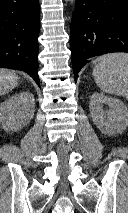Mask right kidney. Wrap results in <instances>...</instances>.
<instances>
[{
  "label": "right kidney",
  "mask_w": 128,
  "mask_h": 213,
  "mask_svg": "<svg viewBox=\"0 0 128 213\" xmlns=\"http://www.w3.org/2000/svg\"><path fill=\"white\" fill-rule=\"evenodd\" d=\"M35 112V99L29 91L12 95L0 104V123L6 131H17L29 124Z\"/></svg>",
  "instance_id": "1"
}]
</instances>
